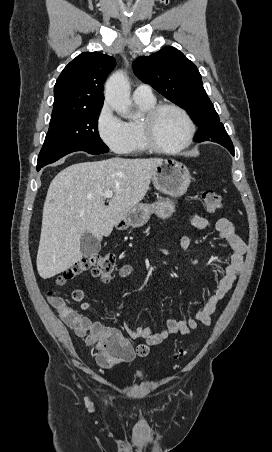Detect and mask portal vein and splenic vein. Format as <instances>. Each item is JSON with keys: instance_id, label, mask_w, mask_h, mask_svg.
Here are the masks:
<instances>
[{"instance_id": "obj_1", "label": "portal vein and splenic vein", "mask_w": 272, "mask_h": 452, "mask_svg": "<svg viewBox=\"0 0 272 452\" xmlns=\"http://www.w3.org/2000/svg\"><path fill=\"white\" fill-rule=\"evenodd\" d=\"M103 195L105 198H112L113 192L108 190V191H105Z\"/></svg>"}]
</instances>
